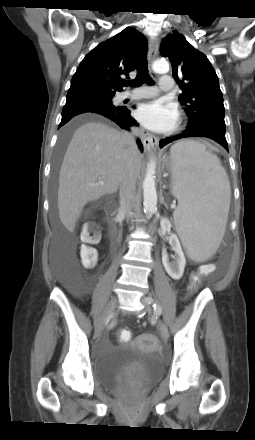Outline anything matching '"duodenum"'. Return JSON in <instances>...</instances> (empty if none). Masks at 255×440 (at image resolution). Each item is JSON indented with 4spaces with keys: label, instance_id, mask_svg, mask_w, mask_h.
I'll list each match as a JSON object with an SVG mask.
<instances>
[{
    "label": "duodenum",
    "instance_id": "obj_1",
    "mask_svg": "<svg viewBox=\"0 0 255 440\" xmlns=\"http://www.w3.org/2000/svg\"><path fill=\"white\" fill-rule=\"evenodd\" d=\"M112 232H113L114 237H115L116 239H118V237H119V231H118V229H117L115 226L113 227Z\"/></svg>",
    "mask_w": 255,
    "mask_h": 440
}]
</instances>
